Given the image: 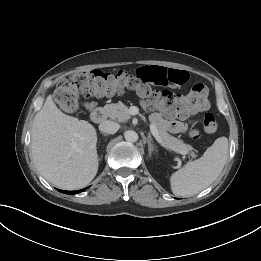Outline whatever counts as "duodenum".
<instances>
[{
    "label": "duodenum",
    "instance_id": "410a0bca",
    "mask_svg": "<svg viewBox=\"0 0 261 261\" xmlns=\"http://www.w3.org/2000/svg\"><path fill=\"white\" fill-rule=\"evenodd\" d=\"M91 119L93 122L95 123H101L105 120V111L104 109L100 108V107H97V108H94L92 111H91Z\"/></svg>",
    "mask_w": 261,
    "mask_h": 261
}]
</instances>
